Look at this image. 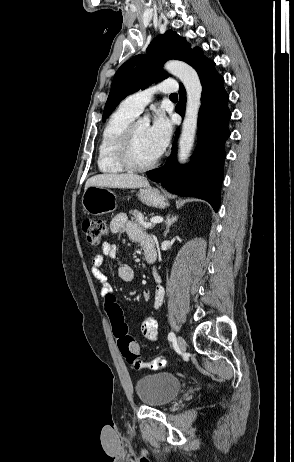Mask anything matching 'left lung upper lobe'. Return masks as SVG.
<instances>
[{
	"label": "left lung upper lobe",
	"mask_w": 294,
	"mask_h": 462,
	"mask_svg": "<svg viewBox=\"0 0 294 462\" xmlns=\"http://www.w3.org/2000/svg\"><path fill=\"white\" fill-rule=\"evenodd\" d=\"M169 59L183 60L195 69L209 60L203 56L199 47L191 49L185 38L171 30L157 36L148 46L147 54L129 59L116 72L104 108L103 121L127 95L147 88L153 81L167 78L169 75L162 70V65Z\"/></svg>",
	"instance_id": "obj_1"
}]
</instances>
